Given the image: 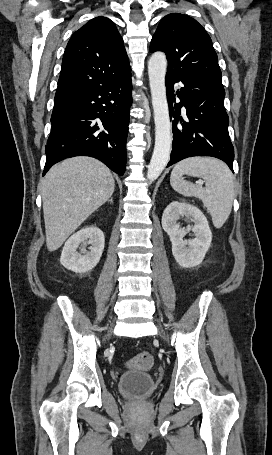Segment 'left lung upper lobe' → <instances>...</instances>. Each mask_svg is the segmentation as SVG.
<instances>
[{"instance_id": "left-lung-upper-lobe-1", "label": "left lung upper lobe", "mask_w": 272, "mask_h": 455, "mask_svg": "<svg viewBox=\"0 0 272 455\" xmlns=\"http://www.w3.org/2000/svg\"><path fill=\"white\" fill-rule=\"evenodd\" d=\"M150 51L166 53L168 74L190 72L221 79L218 57L210 36L187 15L172 13L163 17L151 40Z\"/></svg>"}]
</instances>
